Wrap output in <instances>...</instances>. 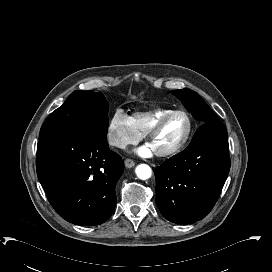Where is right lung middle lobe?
Here are the masks:
<instances>
[{
	"instance_id": "obj_1",
	"label": "right lung middle lobe",
	"mask_w": 272,
	"mask_h": 272,
	"mask_svg": "<svg viewBox=\"0 0 272 272\" xmlns=\"http://www.w3.org/2000/svg\"><path fill=\"white\" fill-rule=\"evenodd\" d=\"M107 113L108 103L101 92L76 90L49 115L39 137L70 129L96 130L107 134Z\"/></svg>"
}]
</instances>
